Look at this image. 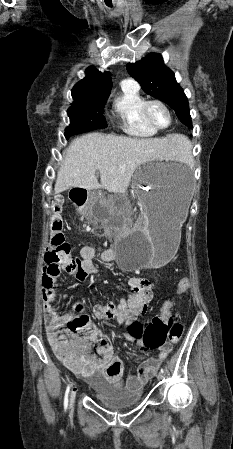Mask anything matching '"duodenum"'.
I'll return each instance as SVG.
<instances>
[{
	"label": "duodenum",
	"instance_id": "410a0bca",
	"mask_svg": "<svg viewBox=\"0 0 233 449\" xmlns=\"http://www.w3.org/2000/svg\"><path fill=\"white\" fill-rule=\"evenodd\" d=\"M70 198L72 206H85L86 200L90 198L89 187L73 186Z\"/></svg>",
	"mask_w": 233,
	"mask_h": 449
}]
</instances>
